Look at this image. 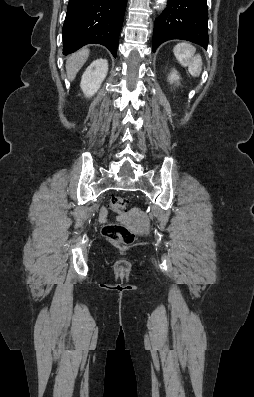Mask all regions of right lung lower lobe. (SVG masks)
Segmentation results:
<instances>
[{
    "mask_svg": "<svg viewBox=\"0 0 254 397\" xmlns=\"http://www.w3.org/2000/svg\"><path fill=\"white\" fill-rule=\"evenodd\" d=\"M127 0H69L63 25V54L97 43L116 57Z\"/></svg>",
    "mask_w": 254,
    "mask_h": 397,
    "instance_id": "obj_1",
    "label": "right lung lower lobe"
}]
</instances>
